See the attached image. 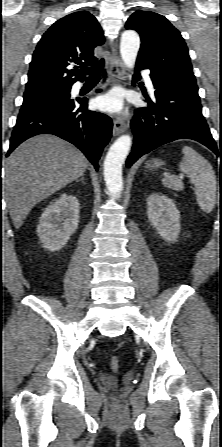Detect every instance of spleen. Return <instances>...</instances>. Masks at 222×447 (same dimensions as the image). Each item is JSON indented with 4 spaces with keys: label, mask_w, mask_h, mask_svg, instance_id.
<instances>
[{
    "label": "spleen",
    "mask_w": 222,
    "mask_h": 447,
    "mask_svg": "<svg viewBox=\"0 0 222 447\" xmlns=\"http://www.w3.org/2000/svg\"><path fill=\"white\" fill-rule=\"evenodd\" d=\"M182 171L195 186L194 191L199 207L210 213L216 202L217 182L211 164L191 147L183 148V158L179 163ZM165 187L175 191L183 189L181 179L174 175H167L162 179Z\"/></svg>",
    "instance_id": "3e777b00"
}]
</instances>
